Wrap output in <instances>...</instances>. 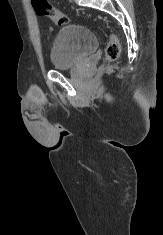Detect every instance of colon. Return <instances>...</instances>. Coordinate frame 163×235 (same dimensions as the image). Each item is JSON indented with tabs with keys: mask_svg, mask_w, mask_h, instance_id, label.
I'll list each match as a JSON object with an SVG mask.
<instances>
[{
	"mask_svg": "<svg viewBox=\"0 0 163 235\" xmlns=\"http://www.w3.org/2000/svg\"><path fill=\"white\" fill-rule=\"evenodd\" d=\"M35 11L45 17H49L58 26L66 25L68 17L53 7L47 0H32ZM120 56V44L115 34H110L105 48V58L107 61H115Z\"/></svg>",
	"mask_w": 163,
	"mask_h": 235,
	"instance_id": "colon-1",
	"label": "colon"
}]
</instances>
